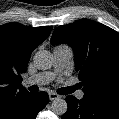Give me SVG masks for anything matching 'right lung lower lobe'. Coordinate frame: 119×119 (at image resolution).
<instances>
[{
  "label": "right lung lower lobe",
  "mask_w": 119,
  "mask_h": 119,
  "mask_svg": "<svg viewBox=\"0 0 119 119\" xmlns=\"http://www.w3.org/2000/svg\"><path fill=\"white\" fill-rule=\"evenodd\" d=\"M49 101L46 92L31 94V96L18 108L10 119H35Z\"/></svg>",
  "instance_id": "right-lung-lower-lobe-1"
}]
</instances>
